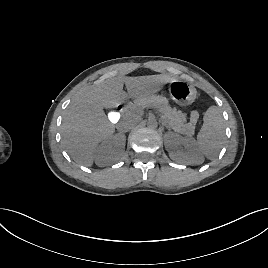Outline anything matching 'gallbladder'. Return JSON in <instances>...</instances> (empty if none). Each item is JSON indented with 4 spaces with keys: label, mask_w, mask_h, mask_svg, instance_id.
I'll return each mask as SVG.
<instances>
[{
    "label": "gallbladder",
    "mask_w": 268,
    "mask_h": 268,
    "mask_svg": "<svg viewBox=\"0 0 268 268\" xmlns=\"http://www.w3.org/2000/svg\"><path fill=\"white\" fill-rule=\"evenodd\" d=\"M106 119H107L108 123H110L112 125H116V124L120 123L122 116H121L120 112H118L116 110H110L106 114Z\"/></svg>",
    "instance_id": "1"
}]
</instances>
